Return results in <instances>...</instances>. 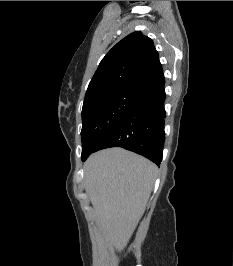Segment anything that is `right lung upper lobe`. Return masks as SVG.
<instances>
[{
  "mask_svg": "<svg viewBox=\"0 0 233 266\" xmlns=\"http://www.w3.org/2000/svg\"><path fill=\"white\" fill-rule=\"evenodd\" d=\"M163 80L153 41L136 31L118 42L102 59L84 101L121 90L147 92Z\"/></svg>",
  "mask_w": 233,
  "mask_h": 266,
  "instance_id": "cb5924a9",
  "label": "right lung upper lobe"
}]
</instances>
